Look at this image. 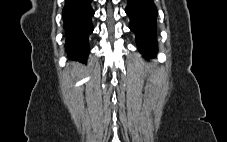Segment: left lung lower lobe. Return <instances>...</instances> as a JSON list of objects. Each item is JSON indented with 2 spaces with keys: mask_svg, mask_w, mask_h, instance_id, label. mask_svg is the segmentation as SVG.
I'll list each match as a JSON object with an SVG mask.
<instances>
[{
  "mask_svg": "<svg viewBox=\"0 0 227 142\" xmlns=\"http://www.w3.org/2000/svg\"><path fill=\"white\" fill-rule=\"evenodd\" d=\"M125 12L130 17L129 27L136 35L140 52L146 57H154L157 9L153 0H128Z\"/></svg>",
  "mask_w": 227,
  "mask_h": 142,
  "instance_id": "0a47b994",
  "label": "left lung lower lobe"
}]
</instances>
